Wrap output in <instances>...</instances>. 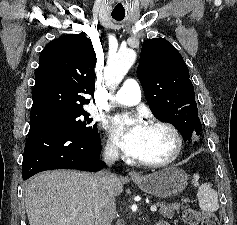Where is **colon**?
Returning a JSON list of instances; mask_svg holds the SVG:
<instances>
[{
	"label": "colon",
	"mask_w": 237,
	"mask_h": 225,
	"mask_svg": "<svg viewBox=\"0 0 237 225\" xmlns=\"http://www.w3.org/2000/svg\"><path fill=\"white\" fill-rule=\"evenodd\" d=\"M182 218L187 225H220L218 218L213 213L200 214L193 208H186Z\"/></svg>",
	"instance_id": "colon-1"
}]
</instances>
